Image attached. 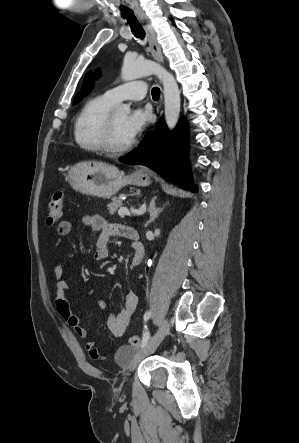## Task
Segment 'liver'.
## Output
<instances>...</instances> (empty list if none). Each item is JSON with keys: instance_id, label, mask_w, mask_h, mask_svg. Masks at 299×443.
Masks as SVG:
<instances>
[{"instance_id": "obj_1", "label": "liver", "mask_w": 299, "mask_h": 443, "mask_svg": "<svg viewBox=\"0 0 299 443\" xmlns=\"http://www.w3.org/2000/svg\"><path fill=\"white\" fill-rule=\"evenodd\" d=\"M94 164H102V163H98V162H93Z\"/></svg>"}]
</instances>
